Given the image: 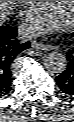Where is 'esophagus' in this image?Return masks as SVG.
Wrapping results in <instances>:
<instances>
[{
  "label": "esophagus",
  "mask_w": 74,
  "mask_h": 122,
  "mask_svg": "<svg viewBox=\"0 0 74 122\" xmlns=\"http://www.w3.org/2000/svg\"><path fill=\"white\" fill-rule=\"evenodd\" d=\"M31 47L35 51H38V50H48V49H50V46L49 45H45V44H42V43H38L36 41H33L31 43Z\"/></svg>",
  "instance_id": "34e87169"
}]
</instances>
